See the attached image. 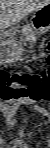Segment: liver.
I'll return each mask as SVG.
<instances>
[{
    "label": "liver",
    "mask_w": 50,
    "mask_h": 148,
    "mask_svg": "<svg viewBox=\"0 0 50 148\" xmlns=\"http://www.w3.org/2000/svg\"><path fill=\"white\" fill-rule=\"evenodd\" d=\"M49 4V0H1V29L19 23L26 15Z\"/></svg>",
    "instance_id": "liver-1"
}]
</instances>
